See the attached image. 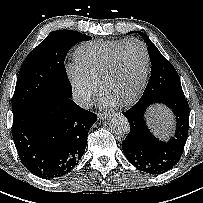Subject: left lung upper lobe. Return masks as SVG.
<instances>
[{"instance_id":"obj_1","label":"left lung upper lobe","mask_w":203,"mask_h":203,"mask_svg":"<svg viewBox=\"0 0 203 203\" xmlns=\"http://www.w3.org/2000/svg\"><path fill=\"white\" fill-rule=\"evenodd\" d=\"M135 32V31H134ZM129 32L128 34H132ZM148 46L152 68L151 78L140 100L184 98L179 76L172 64L160 53L144 33L136 31Z\"/></svg>"}]
</instances>
